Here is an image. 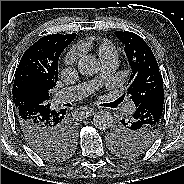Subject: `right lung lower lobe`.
Wrapping results in <instances>:
<instances>
[{"instance_id":"obj_1","label":"right lung lower lobe","mask_w":184,"mask_h":184,"mask_svg":"<svg viewBox=\"0 0 184 184\" xmlns=\"http://www.w3.org/2000/svg\"><path fill=\"white\" fill-rule=\"evenodd\" d=\"M65 109L56 111L50 104H22L16 107V121L28 143L38 154L60 144L67 131Z\"/></svg>"}]
</instances>
